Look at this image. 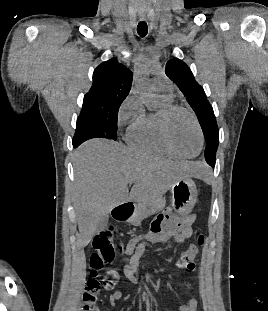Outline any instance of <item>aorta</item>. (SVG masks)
<instances>
[{"instance_id": "762f6f07", "label": "aorta", "mask_w": 268, "mask_h": 311, "mask_svg": "<svg viewBox=\"0 0 268 311\" xmlns=\"http://www.w3.org/2000/svg\"><path fill=\"white\" fill-rule=\"evenodd\" d=\"M153 71V66L150 63H141L138 66V72L140 74V78L137 83V90L141 94L150 97L147 100V104H150L154 101V96L151 94L152 88L148 82V80L144 77L150 74Z\"/></svg>"}]
</instances>
